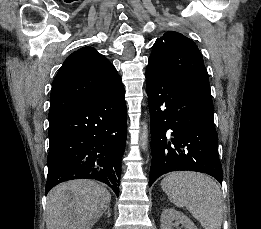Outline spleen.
Instances as JSON below:
<instances>
[{"instance_id": "3e777b00", "label": "spleen", "mask_w": 261, "mask_h": 229, "mask_svg": "<svg viewBox=\"0 0 261 229\" xmlns=\"http://www.w3.org/2000/svg\"><path fill=\"white\" fill-rule=\"evenodd\" d=\"M161 189L176 207H186L203 229H221L222 191L207 175L194 171H174L161 181Z\"/></svg>"}]
</instances>
